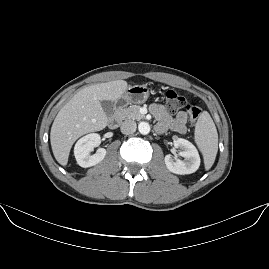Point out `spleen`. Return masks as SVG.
<instances>
[{"instance_id": "obj_1", "label": "spleen", "mask_w": 269, "mask_h": 269, "mask_svg": "<svg viewBox=\"0 0 269 269\" xmlns=\"http://www.w3.org/2000/svg\"><path fill=\"white\" fill-rule=\"evenodd\" d=\"M195 142L203 154L205 169L209 170L214 164L218 151V133L207 111H203L197 120Z\"/></svg>"}]
</instances>
